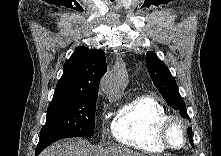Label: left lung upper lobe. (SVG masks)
I'll use <instances>...</instances> for the list:
<instances>
[{"mask_svg": "<svg viewBox=\"0 0 221 156\" xmlns=\"http://www.w3.org/2000/svg\"><path fill=\"white\" fill-rule=\"evenodd\" d=\"M146 65L156 88L165 101L173 109L178 110L183 118L190 119L187 115L184 101L179 94L176 81L165 63L159 60L154 52L148 51L146 54Z\"/></svg>", "mask_w": 221, "mask_h": 156, "instance_id": "left-lung-upper-lobe-1", "label": "left lung upper lobe"}]
</instances>
